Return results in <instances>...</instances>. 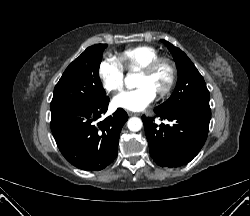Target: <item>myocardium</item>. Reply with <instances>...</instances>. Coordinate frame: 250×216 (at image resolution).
<instances>
[{"label": "myocardium", "instance_id": "myocardium-1", "mask_svg": "<svg viewBox=\"0 0 250 216\" xmlns=\"http://www.w3.org/2000/svg\"><path fill=\"white\" fill-rule=\"evenodd\" d=\"M163 69L165 71V79L161 87L156 91L159 97L165 96L172 88L175 80V67L166 59L156 60L148 64L143 70L142 74L149 76L156 73L158 70Z\"/></svg>", "mask_w": 250, "mask_h": 216}]
</instances>
